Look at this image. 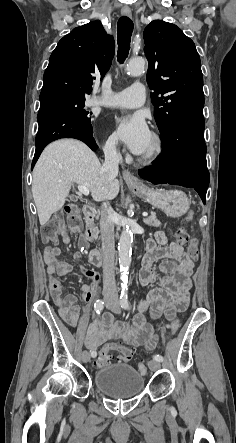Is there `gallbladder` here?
Masks as SVG:
<instances>
[{
    "label": "gallbladder",
    "instance_id": "1",
    "mask_svg": "<svg viewBox=\"0 0 236 443\" xmlns=\"http://www.w3.org/2000/svg\"><path fill=\"white\" fill-rule=\"evenodd\" d=\"M70 200H71V201H77V196H75V195H71V196H70Z\"/></svg>",
    "mask_w": 236,
    "mask_h": 443
}]
</instances>
